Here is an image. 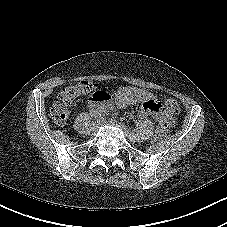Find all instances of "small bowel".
<instances>
[{"label":"small bowel","mask_w":227,"mask_h":227,"mask_svg":"<svg viewBox=\"0 0 227 227\" xmlns=\"http://www.w3.org/2000/svg\"><path fill=\"white\" fill-rule=\"evenodd\" d=\"M129 104H140L142 115H150L161 123H172V120L162 110L157 98L152 93L136 87L120 89L111 100L92 99L90 101V109L95 114L102 112L104 108L110 105L124 107Z\"/></svg>","instance_id":"c3829d8e"}]
</instances>
